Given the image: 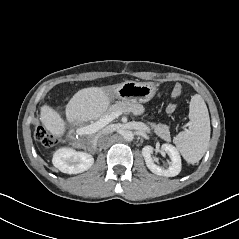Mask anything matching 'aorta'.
<instances>
[{
  "label": "aorta",
  "instance_id": "1",
  "mask_svg": "<svg viewBox=\"0 0 239 239\" xmlns=\"http://www.w3.org/2000/svg\"><path fill=\"white\" fill-rule=\"evenodd\" d=\"M123 138L126 140V141H132L133 138H134V134L132 131L130 130H126L123 132L122 134Z\"/></svg>",
  "mask_w": 239,
  "mask_h": 239
}]
</instances>
